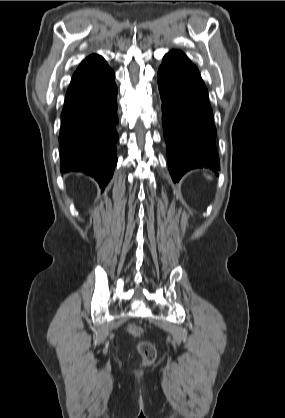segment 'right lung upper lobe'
<instances>
[{
  "label": "right lung upper lobe",
  "mask_w": 285,
  "mask_h": 418,
  "mask_svg": "<svg viewBox=\"0 0 285 418\" xmlns=\"http://www.w3.org/2000/svg\"><path fill=\"white\" fill-rule=\"evenodd\" d=\"M109 69L103 57L96 54L88 56L73 74L67 93L94 81Z\"/></svg>",
  "instance_id": "1"
}]
</instances>
